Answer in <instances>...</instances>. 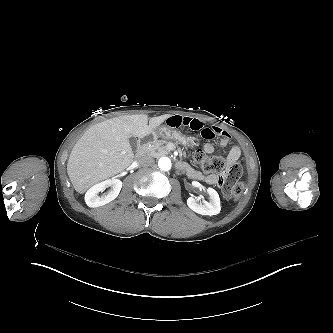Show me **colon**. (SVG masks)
Returning a JSON list of instances; mask_svg holds the SVG:
<instances>
[{
    "label": "colon",
    "mask_w": 333,
    "mask_h": 333,
    "mask_svg": "<svg viewBox=\"0 0 333 333\" xmlns=\"http://www.w3.org/2000/svg\"><path fill=\"white\" fill-rule=\"evenodd\" d=\"M193 160L207 175L216 173V184L222 188L226 197L239 198L245 186L242 181L243 170L241 164L226 163V158L221 155H207L201 150H196ZM225 164V165H224Z\"/></svg>",
    "instance_id": "obj_1"
}]
</instances>
